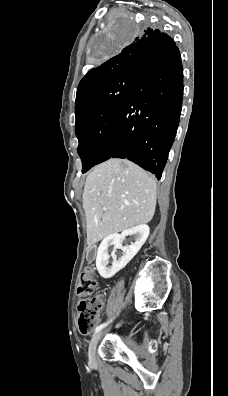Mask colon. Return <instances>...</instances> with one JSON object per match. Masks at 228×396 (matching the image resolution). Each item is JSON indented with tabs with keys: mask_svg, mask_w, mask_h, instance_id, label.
<instances>
[{
	"mask_svg": "<svg viewBox=\"0 0 228 396\" xmlns=\"http://www.w3.org/2000/svg\"><path fill=\"white\" fill-rule=\"evenodd\" d=\"M97 284L93 267L85 268L79 277L77 294L81 297L77 308L79 312L78 327L82 334H88L95 326L99 311L104 303L101 296L89 297Z\"/></svg>",
	"mask_w": 228,
	"mask_h": 396,
	"instance_id": "colon-1",
	"label": "colon"
}]
</instances>
